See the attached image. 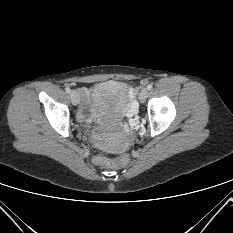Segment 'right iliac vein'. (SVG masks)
Returning <instances> with one entry per match:
<instances>
[{
    "label": "right iliac vein",
    "instance_id": "obj_1",
    "mask_svg": "<svg viewBox=\"0 0 233 233\" xmlns=\"http://www.w3.org/2000/svg\"><path fill=\"white\" fill-rule=\"evenodd\" d=\"M70 99L73 105H78L80 102V96L77 91L73 90L70 92Z\"/></svg>",
    "mask_w": 233,
    "mask_h": 233
}]
</instances>
